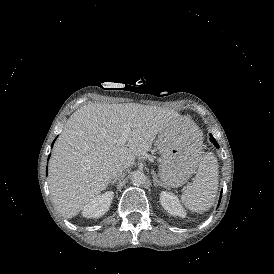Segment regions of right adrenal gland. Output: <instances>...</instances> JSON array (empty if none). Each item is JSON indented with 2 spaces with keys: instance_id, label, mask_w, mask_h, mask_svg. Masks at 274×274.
Wrapping results in <instances>:
<instances>
[{
  "instance_id": "obj_1",
  "label": "right adrenal gland",
  "mask_w": 274,
  "mask_h": 274,
  "mask_svg": "<svg viewBox=\"0 0 274 274\" xmlns=\"http://www.w3.org/2000/svg\"><path fill=\"white\" fill-rule=\"evenodd\" d=\"M117 182V178L111 181V184L114 185Z\"/></svg>"
}]
</instances>
